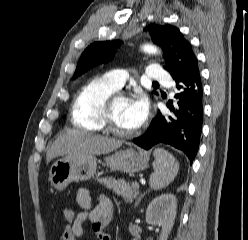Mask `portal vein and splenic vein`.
<instances>
[{"instance_id":"18ae733b","label":"portal vein and splenic vein","mask_w":248,"mask_h":240,"mask_svg":"<svg viewBox=\"0 0 248 240\" xmlns=\"http://www.w3.org/2000/svg\"><path fill=\"white\" fill-rule=\"evenodd\" d=\"M132 185H133V187H135L136 189H139V183L133 182Z\"/></svg>"}]
</instances>
